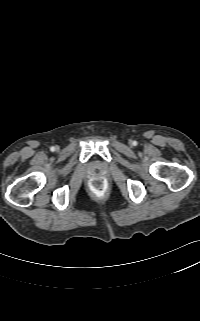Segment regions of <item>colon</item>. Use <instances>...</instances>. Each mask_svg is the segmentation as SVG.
<instances>
[{
    "instance_id": "obj_1",
    "label": "colon",
    "mask_w": 200,
    "mask_h": 321,
    "mask_svg": "<svg viewBox=\"0 0 200 321\" xmlns=\"http://www.w3.org/2000/svg\"><path fill=\"white\" fill-rule=\"evenodd\" d=\"M90 187L95 193L102 194L106 188L105 180L101 177L94 178L90 183Z\"/></svg>"
}]
</instances>
